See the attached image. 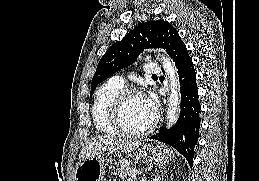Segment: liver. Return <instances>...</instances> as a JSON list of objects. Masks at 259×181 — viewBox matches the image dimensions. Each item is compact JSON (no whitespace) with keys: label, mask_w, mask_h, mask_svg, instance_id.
<instances>
[{"label":"liver","mask_w":259,"mask_h":181,"mask_svg":"<svg viewBox=\"0 0 259 181\" xmlns=\"http://www.w3.org/2000/svg\"><path fill=\"white\" fill-rule=\"evenodd\" d=\"M140 142H128L121 138L114 136H97L90 140L83 148L80 153V161L88 154L96 152H107V153H130L138 148Z\"/></svg>","instance_id":"6515ba94"}]
</instances>
